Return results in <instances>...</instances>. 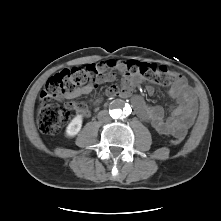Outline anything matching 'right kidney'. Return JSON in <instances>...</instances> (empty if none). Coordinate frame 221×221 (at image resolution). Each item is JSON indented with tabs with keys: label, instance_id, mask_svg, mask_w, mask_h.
<instances>
[{
	"label": "right kidney",
	"instance_id": "1",
	"mask_svg": "<svg viewBox=\"0 0 221 221\" xmlns=\"http://www.w3.org/2000/svg\"><path fill=\"white\" fill-rule=\"evenodd\" d=\"M82 127V116L77 115L72 119V121L68 124L66 128V136L67 137H74L77 135Z\"/></svg>",
	"mask_w": 221,
	"mask_h": 221
}]
</instances>
